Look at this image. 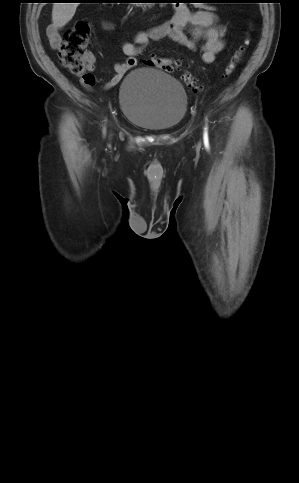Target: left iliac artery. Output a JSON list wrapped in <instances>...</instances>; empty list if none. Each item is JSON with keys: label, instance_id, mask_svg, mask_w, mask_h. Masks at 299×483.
I'll use <instances>...</instances> for the list:
<instances>
[{"label": "left iliac artery", "instance_id": "44dca946", "mask_svg": "<svg viewBox=\"0 0 299 483\" xmlns=\"http://www.w3.org/2000/svg\"><path fill=\"white\" fill-rule=\"evenodd\" d=\"M205 137H207V132H205Z\"/></svg>", "mask_w": 299, "mask_h": 483}]
</instances>
